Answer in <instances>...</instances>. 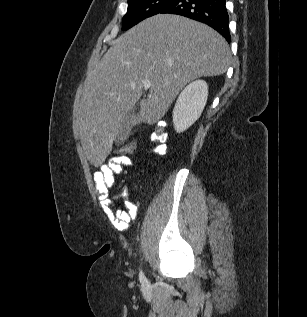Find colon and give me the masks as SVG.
<instances>
[{
	"mask_svg": "<svg viewBox=\"0 0 307 317\" xmlns=\"http://www.w3.org/2000/svg\"><path fill=\"white\" fill-rule=\"evenodd\" d=\"M166 122L159 121L151 130V140L153 142L152 151L155 154L163 155L166 152V139H167V130H166ZM136 149L135 142L125 143L123 145L118 146L114 149V152L117 155L128 156L132 154Z\"/></svg>",
	"mask_w": 307,
	"mask_h": 317,
	"instance_id": "5ec220e1",
	"label": "colon"
}]
</instances>
